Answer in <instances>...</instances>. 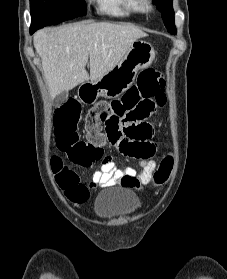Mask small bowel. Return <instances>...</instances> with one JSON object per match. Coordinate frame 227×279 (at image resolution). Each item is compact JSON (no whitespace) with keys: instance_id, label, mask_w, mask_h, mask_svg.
I'll list each match as a JSON object with an SVG mask.
<instances>
[{"instance_id":"1","label":"small bowel","mask_w":227,"mask_h":279,"mask_svg":"<svg viewBox=\"0 0 227 279\" xmlns=\"http://www.w3.org/2000/svg\"><path fill=\"white\" fill-rule=\"evenodd\" d=\"M143 123L148 124L142 121L136 122V124ZM121 135H123V132H121L118 136L120 139H117V137L110 139L114 146L118 148L122 154L128 156L127 145L132 143V141L130 139L121 137ZM140 163L142 165V170L137 172L133 167L130 166H117L113 157L110 155H105L102 158L100 167L93 173L87 185L74 196V201L79 204L86 202L89 198L90 190L96 187H111L117 184H122L125 186L138 188L140 186L147 185L152 179V174L156 164L153 160H141ZM132 179L138 180L139 185H131L130 181Z\"/></svg>"}]
</instances>
